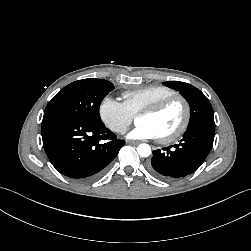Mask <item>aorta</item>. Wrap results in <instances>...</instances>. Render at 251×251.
Segmentation results:
<instances>
[{
	"instance_id": "762f6f07",
	"label": "aorta",
	"mask_w": 251,
	"mask_h": 251,
	"mask_svg": "<svg viewBox=\"0 0 251 251\" xmlns=\"http://www.w3.org/2000/svg\"><path fill=\"white\" fill-rule=\"evenodd\" d=\"M137 152L141 157H148L151 154V147L146 143H142L137 147Z\"/></svg>"
}]
</instances>
